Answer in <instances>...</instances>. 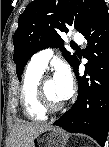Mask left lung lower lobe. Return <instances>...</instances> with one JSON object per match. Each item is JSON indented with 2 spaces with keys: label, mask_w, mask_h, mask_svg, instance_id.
Returning a JSON list of instances; mask_svg holds the SVG:
<instances>
[{
  "label": "left lung lower lobe",
  "mask_w": 109,
  "mask_h": 147,
  "mask_svg": "<svg viewBox=\"0 0 109 147\" xmlns=\"http://www.w3.org/2000/svg\"><path fill=\"white\" fill-rule=\"evenodd\" d=\"M80 33L87 39L88 64L83 76L78 73L79 61L74 67L78 98L53 124L68 132L86 134L104 146L109 130V13L105 2ZM96 75L100 82L93 85L91 78Z\"/></svg>",
  "instance_id": "0a47b994"
}]
</instances>
